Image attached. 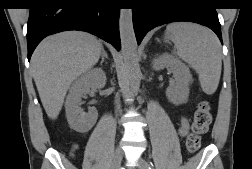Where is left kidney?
<instances>
[{"label":"left kidney","instance_id":"5707ae66","mask_svg":"<svg viewBox=\"0 0 252 169\" xmlns=\"http://www.w3.org/2000/svg\"><path fill=\"white\" fill-rule=\"evenodd\" d=\"M163 61L172 67L176 81L175 85H173L167 90L168 97L171 99V101L175 103H180L184 101L188 96V70L180 62L170 60L168 56L164 57Z\"/></svg>","mask_w":252,"mask_h":169}]
</instances>
